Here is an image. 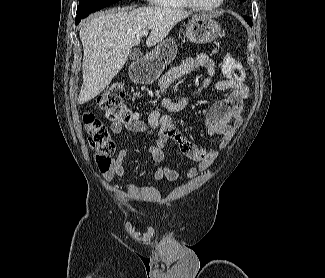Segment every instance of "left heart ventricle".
<instances>
[{"label":"left heart ventricle","instance_id":"left-heart-ventricle-1","mask_svg":"<svg viewBox=\"0 0 325 278\" xmlns=\"http://www.w3.org/2000/svg\"><path fill=\"white\" fill-rule=\"evenodd\" d=\"M196 1L203 5H212L218 2L219 0H196Z\"/></svg>","mask_w":325,"mask_h":278}]
</instances>
